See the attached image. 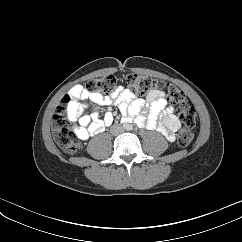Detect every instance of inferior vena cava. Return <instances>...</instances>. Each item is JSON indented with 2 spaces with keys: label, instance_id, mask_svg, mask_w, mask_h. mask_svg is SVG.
Wrapping results in <instances>:
<instances>
[{
  "label": "inferior vena cava",
  "instance_id": "obj_1",
  "mask_svg": "<svg viewBox=\"0 0 242 242\" xmlns=\"http://www.w3.org/2000/svg\"><path fill=\"white\" fill-rule=\"evenodd\" d=\"M111 131L113 133L118 134V133H122L123 132V128L120 125H115V126L112 127V130Z\"/></svg>",
  "mask_w": 242,
  "mask_h": 242
}]
</instances>
